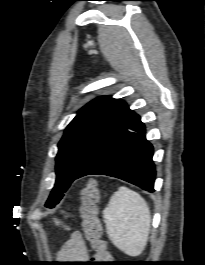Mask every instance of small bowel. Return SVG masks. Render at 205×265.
Returning <instances> with one entry per match:
<instances>
[{
  "label": "small bowel",
  "instance_id": "obj_1",
  "mask_svg": "<svg viewBox=\"0 0 205 265\" xmlns=\"http://www.w3.org/2000/svg\"><path fill=\"white\" fill-rule=\"evenodd\" d=\"M60 261L84 263L89 258V251L80 232H73L57 254Z\"/></svg>",
  "mask_w": 205,
  "mask_h": 265
}]
</instances>
